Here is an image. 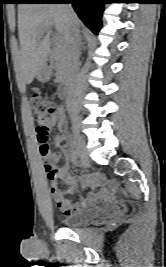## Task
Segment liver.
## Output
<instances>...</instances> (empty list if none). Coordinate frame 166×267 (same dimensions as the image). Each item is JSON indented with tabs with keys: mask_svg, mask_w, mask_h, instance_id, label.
Listing matches in <instances>:
<instances>
[{
	"mask_svg": "<svg viewBox=\"0 0 166 267\" xmlns=\"http://www.w3.org/2000/svg\"><path fill=\"white\" fill-rule=\"evenodd\" d=\"M79 22V19H78ZM55 26L61 40L67 42V20L60 4L18 5V34L20 51L17 61V77L26 85L32 83L50 54V32Z\"/></svg>",
	"mask_w": 166,
	"mask_h": 267,
	"instance_id": "liver-1",
	"label": "liver"
}]
</instances>
